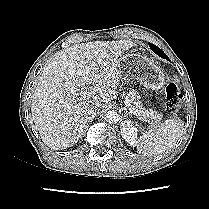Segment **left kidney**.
Returning <instances> with one entry per match:
<instances>
[{"mask_svg":"<svg viewBox=\"0 0 209 209\" xmlns=\"http://www.w3.org/2000/svg\"><path fill=\"white\" fill-rule=\"evenodd\" d=\"M121 128V135L128 142L131 146L137 145V128L132 124L131 121H123L120 125Z\"/></svg>","mask_w":209,"mask_h":209,"instance_id":"left-kidney-1","label":"left kidney"}]
</instances>
